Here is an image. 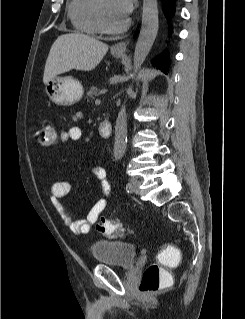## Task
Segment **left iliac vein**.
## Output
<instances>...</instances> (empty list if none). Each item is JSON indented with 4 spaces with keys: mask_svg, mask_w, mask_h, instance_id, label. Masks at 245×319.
Segmentation results:
<instances>
[{
    "mask_svg": "<svg viewBox=\"0 0 245 319\" xmlns=\"http://www.w3.org/2000/svg\"><path fill=\"white\" fill-rule=\"evenodd\" d=\"M130 184H131V190L130 191L138 194L139 193V186H140L139 180L136 179V178H132L130 180Z\"/></svg>",
    "mask_w": 245,
    "mask_h": 319,
    "instance_id": "obj_1",
    "label": "left iliac vein"
}]
</instances>
